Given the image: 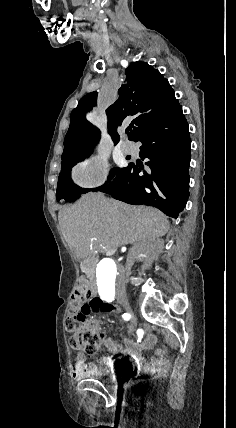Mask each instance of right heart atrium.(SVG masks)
Returning <instances> with one entry per match:
<instances>
[{
	"instance_id": "1",
	"label": "right heart atrium",
	"mask_w": 236,
	"mask_h": 428,
	"mask_svg": "<svg viewBox=\"0 0 236 428\" xmlns=\"http://www.w3.org/2000/svg\"><path fill=\"white\" fill-rule=\"evenodd\" d=\"M72 178L76 185L84 189L100 187L109 180L104 162L98 159L78 163L73 169Z\"/></svg>"
}]
</instances>
